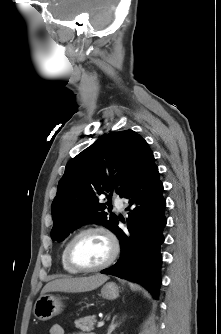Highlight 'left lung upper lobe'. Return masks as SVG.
I'll return each instance as SVG.
<instances>
[{
	"instance_id": "1",
	"label": "left lung upper lobe",
	"mask_w": 221,
	"mask_h": 334,
	"mask_svg": "<svg viewBox=\"0 0 221 334\" xmlns=\"http://www.w3.org/2000/svg\"><path fill=\"white\" fill-rule=\"evenodd\" d=\"M152 159L147 142L133 130H125L101 137L69 160L51 206L52 240L62 241L87 223L113 231L117 216L104 211L100 196L109 199L116 191L123 197Z\"/></svg>"
}]
</instances>
